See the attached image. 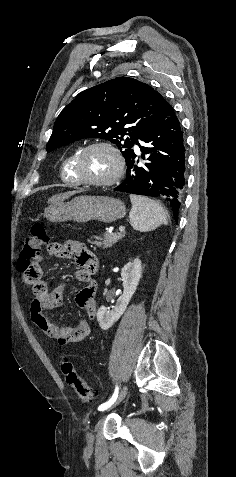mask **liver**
Masks as SVG:
<instances>
[{
	"instance_id": "6515ba94",
	"label": "liver",
	"mask_w": 236,
	"mask_h": 477,
	"mask_svg": "<svg viewBox=\"0 0 236 477\" xmlns=\"http://www.w3.org/2000/svg\"><path fill=\"white\" fill-rule=\"evenodd\" d=\"M76 193H77V191H70V192L54 195V196H52L51 198L48 199V203L49 204H59V203L63 202L65 199L69 198L70 196H72Z\"/></svg>"
}]
</instances>
